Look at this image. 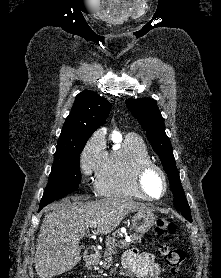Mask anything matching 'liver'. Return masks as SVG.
I'll return each instance as SVG.
<instances>
[{
	"instance_id": "liver-1",
	"label": "liver",
	"mask_w": 221,
	"mask_h": 278,
	"mask_svg": "<svg viewBox=\"0 0 221 278\" xmlns=\"http://www.w3.org/2000/svg\"><path fill=\"white\" fill-rule=\"evenodd\" d=\"M151 209L127 197L84 202L75 198L45 215L37 238L35 269L40 278H52L72 269L81 260L79 241L97 222V232L108 234L129 213Z\"/></svg>"
}]
</instances>
